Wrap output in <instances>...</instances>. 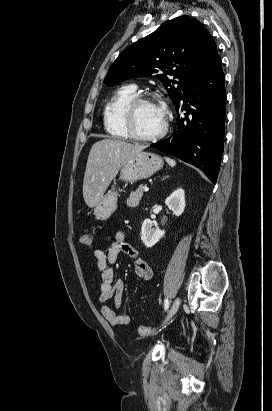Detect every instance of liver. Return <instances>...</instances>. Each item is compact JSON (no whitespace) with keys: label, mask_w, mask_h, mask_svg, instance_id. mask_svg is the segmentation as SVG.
I'll return each mask as SVG.
<instances>
[{"label":"liver","mask_w":272,"mask_h":411,"mask_svg":"<svg viewBox=\"0 0 272 411\" xmlns=\"http://www.w3.org/2000/svg\"><path fill=\"white\" fill-rule=\"evenodd\" d=\"M146 146L122 140L103 139L91 147L84 180L83 198L88 207H95L121 166L142 152Z\"/></svg>","instance_id":"1"}]
</instances>
